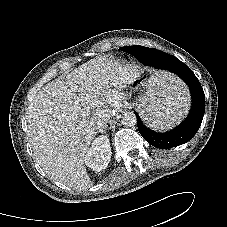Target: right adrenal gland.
Listing matches in <instances>:
<instances>
[{
  "label": "right adrenal gland",
  "mask_w": 227,
  "mask_h": 227,
  "mask_svg": "<svg viewBox=\"0 0 227 227\" xmlns=\"http://www.w3.org/2000/svg\"><path fill=\"white\" fill-rule=\"evenodd\" d=\"M105 128H106V126L102 127L101 129H99L98 132H100V133H105V130H104Z\"/></svg>",
  "instance_id": "1"
}]
</instances>
